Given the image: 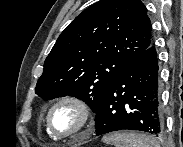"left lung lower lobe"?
I'll return each mask as SVG.
<instances>
[{"mask_svg": "<svg viewBox=\"0 0 183 147\" xmlns=\"http://www.w3.org/2000/svg\"><path fill=\"white\" fill-rule=\"evenodd\" d=\"M158 59L154 46L133 59L105 92L95 117L96 135L118 130L161 134Z\"/></svg>", "mask_w": 183, "mask_h": 147, "instance_id": "left-lung-lower-lobe-1", "label": "left lung lower lobe"}]
</instances>
